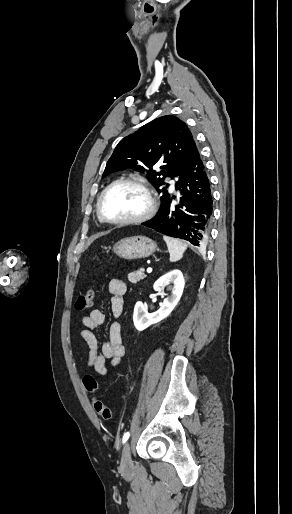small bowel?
I'll return each mask as SVG.
<instances>
[{
    "label": "small bowel",
    "mask_w": 292,
    "mask_h": 514,
    "mask_svg": "<svg viewBox=\"0 0 292 514\" xmlns=\"http://www.w3.org/2000/svg\"><path fill=\"white\" fill-rule=\"evenodd\" d=\"M108 291L111 295V312L119 317L124 308L123 296L127 291L123 280L113 278L108 282ZM105 322V315L99 309L92 310L82 318V324L86 327L79 331L80 338L88 347L87 366L93 368L99 375H106L111 367L117 366L126 353L122 343L121 324L112 322L109 326L108 340L101 346L93 330L101 329Z\"/></svg>",
    "instance_id": "obj_1"
}]
</instances>
